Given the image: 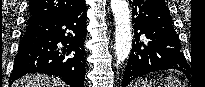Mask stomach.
Listing matches in <instances>:
<instances>
[{"label":"stomach","instance_id":"1","mask_svg":"<svg viewBox=\"0 0 205 87\" xmlns=\"http://www.w3.org/2000/svg\"><path fill=\"white\" fill-rule=\"evenodd\" d=\"M138 85L141 86L142 84L139 83ZM142 86H143V85H142ZM144 86L146 87V84H144Z\"/></svg>","mask_w":205,"mask_h":87}]
</instances>
